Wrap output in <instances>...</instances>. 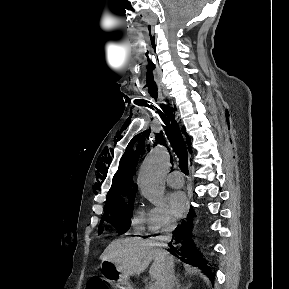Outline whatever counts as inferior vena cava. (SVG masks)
Segmentation results:
<instances>
[{"label": "inferior vena cava", "mask_w": 289, "mask_h": 289, "mask_svg": "<svg viewBox=\"0 0 289 289\" xmlns=\"http://www.w3.org/2000/svg\"><path fill=\"white\" fill-rule=\"evenodd\" d=\"M175 224L165 225L163 232L165 236L162 237V240L168 241L172 237V231L175 229ZM174 270L169 263H164L162 276L159 282V289H173L174 287Z\"/></svg>", "instance_id": "obj_1"}]
</instances>
